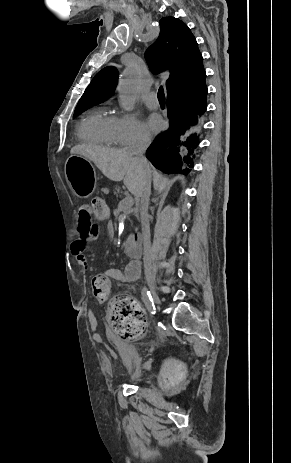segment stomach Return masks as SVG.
<instances>
[{
	"mask_svg": "<svg viewBox=\"0 0 291 463\" xmlns=\"http://www.w3.org/2000/svg\"><path fill=\"white\" fill-rule=\"evenodd\" d=\"M94 167L91 162L77 154H72L65 163V176L79 198H87L95 189Z\"/></svg>",
	"mask_w": 291,
	"mask_h": 463,
	"instance_id": "1",
	"label": "stomach"
}]
</instances>
